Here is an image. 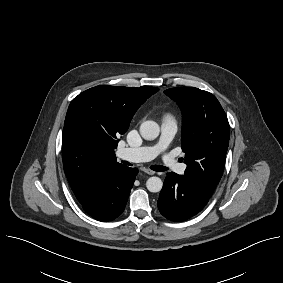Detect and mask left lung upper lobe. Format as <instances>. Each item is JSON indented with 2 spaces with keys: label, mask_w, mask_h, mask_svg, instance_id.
I'll list each match as a JSON object with an SVG mask.
<instances>
[{
  "label": "left lung upper lobe",
  "mask_w": 283,
  "mask_h": 283,
  "mask_svg": "<svg viewBox=\"0 0 283 283\" xmlns=\"http://www.w3.org/2000/svg\"><path fill=\"white\" fill-rule=\"evenodd\" d=\"M164 93L182 111L181 146L186 153L184 175L202 192L212 195L224 170L229 145V123L217 98L194 87Z\"/></svg>",
  "instance_id": "left-lung-upper-lobe-1"
}]
</instances>
